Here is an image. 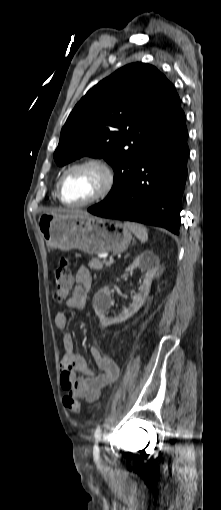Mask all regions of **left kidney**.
<instances>
[{
    "mask_svg": "<svg viewBox=\"0 0 221 510\" xmlns=\"http://www.w3.org/2000/svg\"><path fill=\"white\" fill-rule=\"evenodd\" d=\"M136 268H140L141 271L145 272L143 284L139 288L140 292L133 296L130 307L124 308L118 316L114 318L107 317L108 310L113 304L108 286L100 289L94 295L92 304L102 327L124 322L142 307L149 294L152 280L158 271L159 258L152 251H144L126 268V272H132Z\"/></svg>",
    "mask_w": 221,
    "mask_h": 510,
    "instance_id": "1",
    "label": "left kidney"
}]
</instances>
